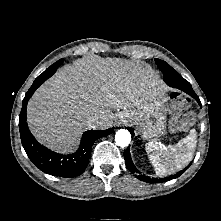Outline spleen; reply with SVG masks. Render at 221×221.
<instances>
[{"label":"spleen","mask_w":221,"mask_h":221,"mask_svg":"<svg viewBox=\"0 0 221 221\" xmlns=\"http://www.w3.org/2000/svg\"><path fill=\"white\" fill-rule=\"evenodd\" d=\"M196 131L190 130L188 136L174 145H163L156 141L146 144V152L157 175L175 173L192 160L196 148Z\"/></svg>","instance_id":"spleen-1"}]
</instances>
